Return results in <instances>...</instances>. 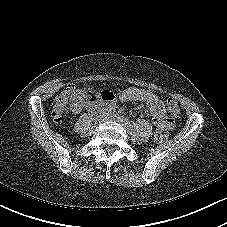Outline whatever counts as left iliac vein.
<instances>
[{
	"label": "left iliac vein",
	"mask_w": 227,
	"mask_h": 227,
	"mask_svg": "<svg viewBox=\"0 0 227 227\" xmlns=\"http://www.w3.org/2000/svg\"><path fill=\"white\" fill-rule=\"evenodd\" d=\"M116 121L121 123L127 129L128 132L130 131V129L127 127V125L124 122H122L121 119H119V117L116 118Z\"/></svg>",
	"instance_id": "1"
}]
</instances>
